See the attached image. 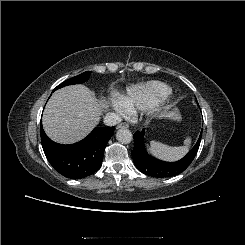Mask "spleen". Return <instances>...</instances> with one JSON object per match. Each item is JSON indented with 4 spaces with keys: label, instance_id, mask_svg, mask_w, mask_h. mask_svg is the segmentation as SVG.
<instances>
[{
    "label": "spleen",
    "instance_id": "spleen-1",
    "mask_svg": "<svg viewBox=\"0 0 245 245\" xmlns=\"http://www.w3.org/2000/svg\"><path fill=\"white\" fill-rule=\"evenodd\" d=\"M184 146L173 147L163 144L158 141H150V145L147 144V149L154 157L164 161H177L185 156L189 150L191 144V138L184 140Z\"/></svg>",
    "mask_w": 245,
    "mask_h": 245
}]
</instances>
